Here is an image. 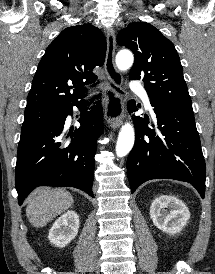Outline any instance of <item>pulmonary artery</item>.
<instances>
[{
	"label": "pulmonary artery",
	"instance_id": "pulmonary-artery-1",
	"mask_svg": "<svg viewBox=\"0 0 215 274\" xmlns=\"http://www.w3.org/2000/svg\"><path fill=\"white\" fill-rule=\"evenodd\" d=\"M131 89H132L133 91L139 93V94L141 95V97H142V100H143L145 106H146L148 109H151L150 100H149L148 94H147V92L145 91V89H144L141 85H139V84H137V83H133V84L131 85Z\"/></svg>",
	"mask_w": 215,
	"mask_h": 274
}]
</instances>
